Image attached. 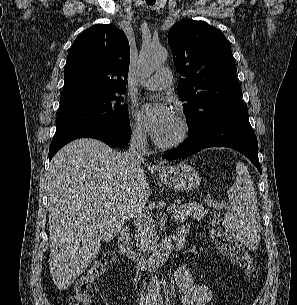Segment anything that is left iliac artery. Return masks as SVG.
I'll use <instances>...</instances> for the list:
<instances>
[{"instance_id": "44dca946", "label": "left iliac artery", "mask_w": 297, "mask_h": 305, "mask_svg": "<svg viewBox=\"0 0 297 305\" xmlns=\"http://www.w3.org/2000/svg\"><path fill=\"white\" fill-rule=\"evenodd\" d=\"M155 305H163V298L161 295H156L155 297Z\"/></svg>"}]
</instances>
